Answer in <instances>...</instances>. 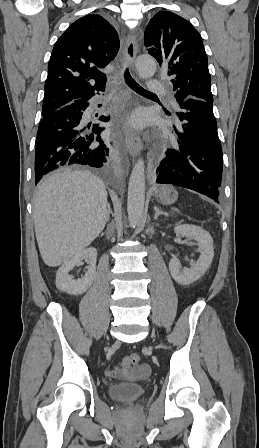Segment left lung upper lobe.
Masks as SVG:
<instances>
[{"mask_svg": "<svg viewBox=\"0 0 259 448\" xmlns=\"http://www.w3.org/2000/svg\"><path fill=\"white\" fill-rule=\"evenodd\" d=\"M144 41L148 53L168 70L177 103L187 98L213 102L202 38L187 20L173 12L160 11L147 25Z\"/></svg>", "mask_w": 259, "mask_h": 448, "instance_id": "obj_1", "label": "left lung upper lobe"}]
</instances>
